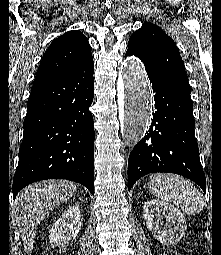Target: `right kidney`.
<instances>
[{
  "mask_svg": "<svg viewBox=\"0 0 221 255\" xmlns=\"http://www.w3.org/2000/svg\"><path fill=\"white\" fill-rule=\"evenodd\" d=\"M81 212L77 205L70 206L54 222L49 239L51 244L65 247L71 240L75 239L81 230Z\"/></svg>",
  "mask_w": 221,
  "mask_h": 255,
  "instance_id": "right-kidney-1",
  "label": "right kidney"
}]
</instances>
